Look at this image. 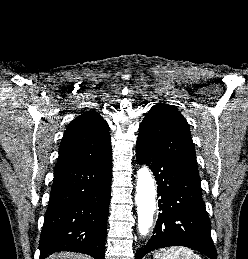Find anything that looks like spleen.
Listing matches in <instances>:
<instances>
[{
    "mask_svg": "<svg viewBox=\"0 0 248 259\" xmlns=\"http://www.w3.org/2000/svg\"><path fill=\"white\" fill-rule=\"evenodd\" d=\"M153 259H202L191 249L183 246H174L162 249L154 254Z\"/></svg>",
    "mask_w": 248,
    "mask_h": 259,
    "instance_id": "1",
    "label": "spleen"
}]
</instances>
